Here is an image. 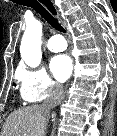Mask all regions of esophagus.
<instances>
[{
    "label": "esophagus",
    "mask_w": 117,
    "mask_h": 136,
    "mask_svg": "<svg viewBox=\"0 0 117 136\" xmlns=\"http://www.w3.org/2000/svg\"><path fill=\"white\" fill-rule=\"evenodd\" d=\"M47 10L48 8L44 5L45 4H50L51 5V11L48 10L53 16H55L56 18H59V13L57 8L55 7L54 3L52 0H38Z\"/></svg>",
    "instance_id": "obj_1"
}]
</instances>
